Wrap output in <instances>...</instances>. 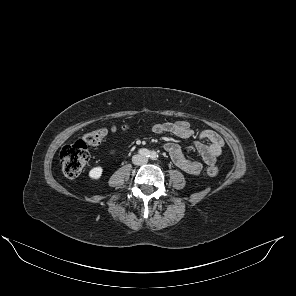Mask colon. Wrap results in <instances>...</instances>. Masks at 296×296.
Listing matches in <instances>:
<instances>
[{
	"mask_svg": "<svg viewBox=\"0 0 296 296\" xmlns=\"http://www.w3.org/2000/svg\"><path fill=\"white\" fill-rule=\"evenodd\" d=\"M126 128V125H123L120 128L116 126L100 128L85 134L82 139L64 146L60 152V161L64 174L70 178L78 176L88 162V146L98 144L110 133L117 132L119 129L124 130ZM218 171L219 168L217 165H211L206 169V174L208 176H215Z\"/></svg>",
	"mask_w": 296,
	"mask_h": 296,
	"instance_id": "obj_1",
	"label": "colon"
}]
</instances>
